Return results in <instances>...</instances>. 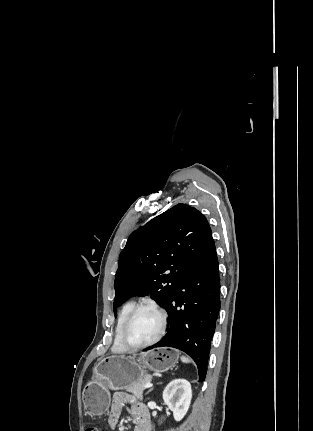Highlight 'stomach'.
Segmentation results:
<instances>
[{
	"instance_id": "obj_1",
	"label": "stomach",
	"mask_w": 313,
	"mask_h": 431,
	"mask_svg": "<svg viewBox=\"0 0 313 431\" xmlns=\"http://www.w3.org/2000/svg\"><path fill=\"white\" fill-rule=\"evenodd\" d=\"M179 354L172 350H150L139 357L112 355L103 358L83 389V403L91 415L101 416L109 409L110 390L147 378V371L165 372L176 365Z\"/></svg>"
}]
</instances>
